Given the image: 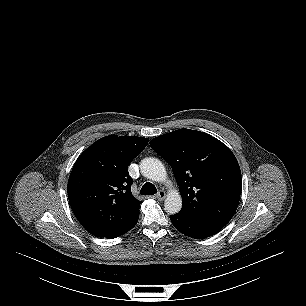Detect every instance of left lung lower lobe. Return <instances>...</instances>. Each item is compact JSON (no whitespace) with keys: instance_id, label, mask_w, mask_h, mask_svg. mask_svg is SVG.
I'll return each mask as SVG.
<instances>
[{"instance_id":"obj_1","label":"left lung lower lobe","mask_w":306,"mask_h":306,"mask_svg":"<svg viewBox=\"0 0 306 306\" xmlns=\"http://www.w3.org/2000/svg\"><path fill=\"white\" fill-rule=\"evenodd\" d=\"M177 230L192 238H206L215 235L225 224L190 218L181 213L170 216Z\"/></svg>"}]
</instances>
